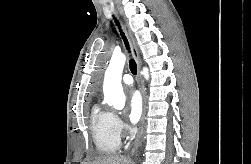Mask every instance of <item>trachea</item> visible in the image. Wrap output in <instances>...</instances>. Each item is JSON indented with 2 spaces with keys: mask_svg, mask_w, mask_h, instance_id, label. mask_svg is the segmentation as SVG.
I'll list each match as a JSON object with an SVG mask.
<instances>
[{
  "mask_svg": "<svg viewBox=\"0 0 251 164\" xmlns=\"http://www.w3.org/2000/svg\"><path fill=\"white\" fill-rule=\"evenodd\" d=\"M114 19H115L116 25L118 26V28L120 30V34L122 36L124 44H125L127 50H129V43H128V40H127L125 34L123 33V31L121 29L120 23L118 22V20L115 17H114ZM129 66H130V70H131L132 74L136 75V73H137V65H136V62L133 59H130Z\"/></svg>",
  "mask_w": 251,
  "mask_h": 164,
  "instance_id": "obj_1",
  "label": "trachea"
}]
</instances>
